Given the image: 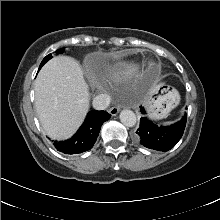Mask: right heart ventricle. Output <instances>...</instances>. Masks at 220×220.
Returning a JSON list of instances; mask_svg holds the SVG:
<instances>
[{
	"label": "right heart ventricle",
	"mask_w": 220,
	"mask_h": 220,
	"mask_svg": "<svg viewBox=\"0 0 220 220\" xmlns=\"http://www.w3.org/2000/svg\"><path fill=\"white\" fill-rule=\"evenodd\" d=\"M134 70V64L123 63L103 70L100 77L109 82H122L127 79Z\"/></svg>",
	"instance_id": "obj_1"
}]
</instances>
